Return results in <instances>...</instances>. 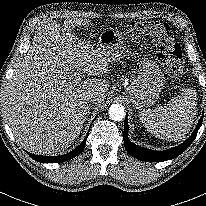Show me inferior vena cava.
Returning a JSON list of instances; mask_svg holds the SVG:
<instances>
[{
	"instance_id": "1",
	"label": "inferior vena cava",
	"mask_w": 206,
	"mask_h": 206,
	"mask_svg": "<svg viewBox=\"0 0 206 206\" xmlns=\"http://www.w3.org/2000/svg\"><path fill=\"white\" fill-rule=\"evenodd\" d=\"M87 100L89 102H94L95 103V102H98L100 100V98L98 97L97 94L92 93V94L88 95Z\"/></svg>"
}]
</instances>
